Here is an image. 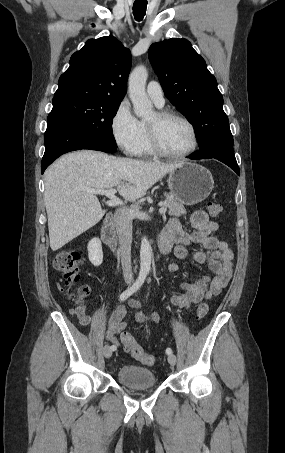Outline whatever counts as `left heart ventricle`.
Here are the masks:
<instances>
[{
  "label": "left heart ventricle",
  "instance_id": "b2bd125f",
  "mask_svg": "<svg viewBox=\"0 0 285 453\" xmlns=\"http://www.w3.org/2000/svg\"><path fill=\"white\" fill-rule=\"evenodd\" d=\"M147 123L158 125L162 145L170 152L181 153L192 145V134L189 127L177 118H169L159 122L155 113L148 119Z\"/></svg>",
  "mask_w": 285,
  "mask_h": 453
}]
</instances>
